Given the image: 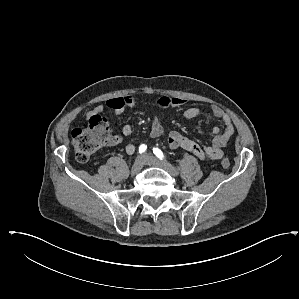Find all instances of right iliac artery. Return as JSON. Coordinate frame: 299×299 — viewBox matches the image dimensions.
Listing matches in <instances>:
<instances>
[{
    "label": "right iliac artery",
    "mask_w": 299,
    "mask_h": 299,
    "mask_svg": "<svg viewBox=\"0 0 299 299\" xmlns=\"http://www.w3.org/2000/svg\"><path fill=\"white\" fill-rule=\"evenodd\" d=\"M147 149V146L145 144L140 145L139 147V153H144Z\"/></svg>",
    "instance_id": "82829eb1"
}]
</instances>
